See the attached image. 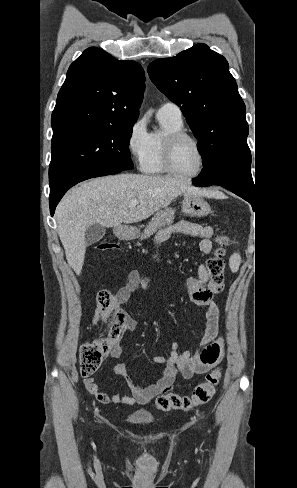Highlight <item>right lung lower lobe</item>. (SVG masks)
I'll return each instance as SVG.
<instances>
[{
  "label": "right lung lower lobe",
  "mask_w": 297,
  "mask_h": 488,
  "mask_svg": "<svg viewBox=\"0 0 297 488\" xmlns=\"http://www.w3.org/2000/svg\"><path fill=\"white\" fill-rule=\"evenodd\" d=\"M121 172V170H108V171H101V172H96V173H92V174H89L75 182H73L72 184H70L69 186H67L62 192H60L59 194H57L56 196L54 197H51L49 198L50 202H49V206H50V213L51 215L53 216L54 214V211H55V207L57 206V204L59 203L60 199L63 197V195L65 194V192L71 188L72 186H74L75 184L81 182V181H84L86 179H89V178H94V177H100V176H105V175H112V174H116V173H119Z\"/></svg>",
  "instance_id": "obj_1"
}]
</instances>
